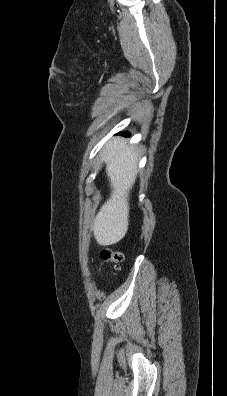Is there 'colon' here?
Segmentation results:
<instances>
[{"instance_id":"obj_1","label":"colon","mask_w":227,"mask_h":396,"mask_svg":"<svg viewBox=\"0 0 227 396\" xmlns=\"http://www.w3.org/2000/svg\"><path fill=\"white\" fill-rule=\"evenodd\" d=\"M102 258L106 262L117 264L123 260L124 256L119 251H113L107 249L102 252Z\"/></svg>"}]
</instances>
